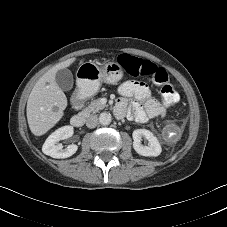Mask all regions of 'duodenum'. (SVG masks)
<instances>
[{"instance_id":"duodenum-1","label":"duodenum","mask_w":227,"mask_h":227,"mask_svg":"<svg viewBox=\"0 0 227 227\" xmlns=\"http://www.w3.org/2000/svg\"><path fill=\"white\" fill-rule=\"evenodd\" d=\"M87 82H79L74 95L71 100V104L74 109H81L85 103L84 92L86 90ZM71 125L76 128H81L85 122V116L82 113H77L71 117Z\"/></svg>"}]
</instances>
